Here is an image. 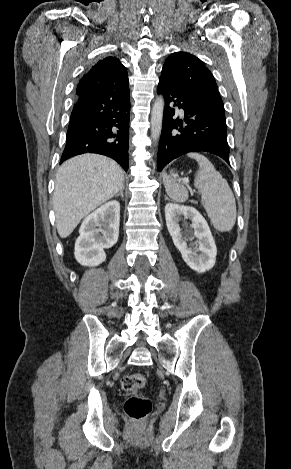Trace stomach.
I'll list each match as a JSON object with an SVG mask.
<instances>
[{
	"instance_id": "stomach-1",
	"label": "stomach",
	"mask_w": 291,
	"mask_h": 469,
	"mask_svg": "<svg viewBox=\"0 0 291 469\" xmlns=\"http://www.w3.org/2000/svg\"><path fill=\"white\" fill-rule=\"evenodd\" d=\"M171 176H176V174H174L173 172H171Z\"/></svg>"
}]
</instances>
